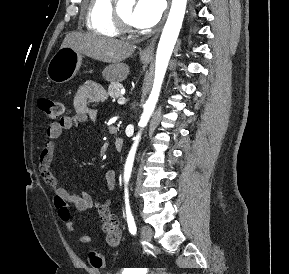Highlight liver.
Here are the masks:
<instances>
[{
  "label": "liver",
  "instance_id": "obj_1",
  "mask_svg": "<svg viewBox=\"0 0 289 274\" xmlns=\"http://www.w3.org/2000/svg\"><path fill=\"white\" fill-rule=\"evenodd\" d=\"M61 47H71L90 58L110 63L104 69L103 76L111 82L124 81L127 78L129 66L122 61L136 49L135 45L127 42L75 32L66 35Z\"/></svg>",
  "mask_w": 289,
  "mask_h": 274
}]
</instances>
